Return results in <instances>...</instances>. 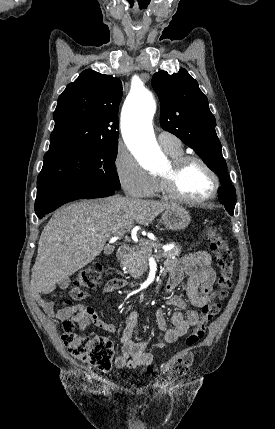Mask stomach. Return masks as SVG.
<instances>
[{"mask_svg": "<svg viewBox=\"0 0 275 429\" xmlns=\"http://www.w3.org/2000/svg\"><path fill=\"white\" fill-rule=\"evenodd\" d=\"M161 218L164 225L174 231L185 229L191 221L188 211L178 205L167 208Z\"/></svg>", "mask_w": 275, "mask_h": 429, "instance_id": "0dacf381", "label": "stomach"}]
</instances>
